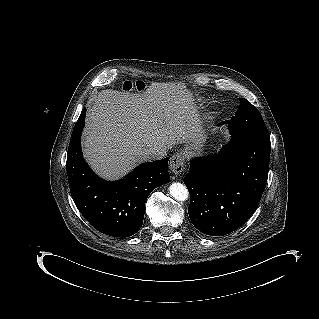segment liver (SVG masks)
Returning <instances> with one entry per match:
<instances>
[{
    "mask_svg": "<svg viewBox=\"0 0 319 319\" xmlns=\"http://www.w3.org/2000/svg\"><path fill=\"white\" fill-rule=\"evenodd\" d=\"M198 122L190 94L174 84L157 83L142 94L102 90L88 103L84 157L98 175L116 180L148 161L146 149L192 141Z\"/></svg>",
    "mask_w": 319,
    "mask_h": 319,
    "instance_id": "liver-1",
    "label": "liver"
}]
</instances>
